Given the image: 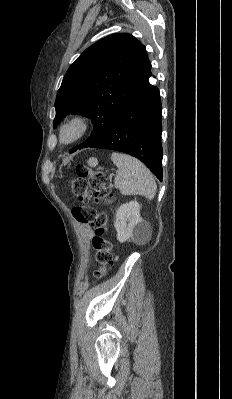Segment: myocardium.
Segmentation results:
<instances>
[{"mask_svg": "<svg viewBox=\"0 0 232 399\" xmlns=\"http://www.w3.org/2000/svg\"><path fill=\"white\" fill-rule=\"evenodd\" d=\"M76 126L77 133L70 140H64L63 133L66 128ZM91 121L90 118L84 113H75L67 118L60 126L59 138L64 144H72L80 140L90 129Z\"/></svg>", "mask_w": 232, "mask_h": 399, "instance_id": "1", "label": "myocardium"}]
</instances>
